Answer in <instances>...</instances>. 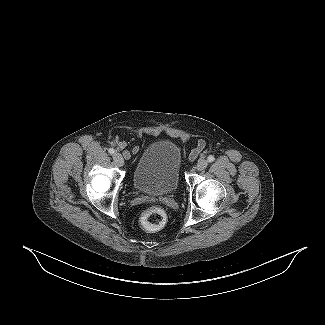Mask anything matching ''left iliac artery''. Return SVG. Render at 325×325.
I'll return each instance as SVG.
<instances>
[{
  "label": "left iliac artery",
  "instance_id": "44dca946",
  "mask_svg": "<svg viewBox=\"0 0 325 325\" xmlns=\"http://www.w3.org/2000/svg\"><path fill=\"white\" fill-rule=\"evenodd\" d=\"M208 162H213L215 160L213 155H209L207 158Z\"/></svg>",
  "mask_w": 325,
  "mask_h": 325
}]
</instances>
